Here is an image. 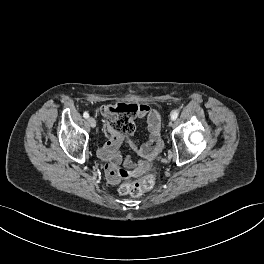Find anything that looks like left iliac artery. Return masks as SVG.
Wrapping results in <instances>:
<instances>
[{
  "instance_id": "1",
  "label": "left iliac artery",
  "mask_w": 264,
  "mask_h": 264,
  "mask_svg": "<svg viewBox=\"0 0 264 264\" xmlns=\"http://www.w3.org/2000/svg\"><path fill=\"white\" fill-rule=\"evenodd\" d=\"M178 114H179L178 111H173L172 114H171V119L172 120H176L177 117H178Z\"/></svg>"
}]
</instances>
